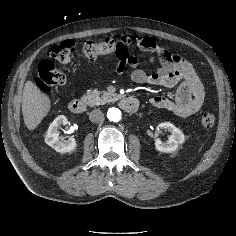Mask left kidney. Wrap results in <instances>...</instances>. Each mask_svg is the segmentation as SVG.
I'll use <instances>...</instances> for the list:
<instances>
[{
	"label": "left kidney",
	"mask_w": 236,
	"mask_h": 236,
	"mask_svg": "<svg viewBox=\"0 0 236 236\" xmlns=\"http://www.w3.org/2000/svg\"><path fill=\"white\" fill-rule=\"evenodd\" d=\"M157 128L166 129L168 132L171 133V136L169 137L167 142H162L159 138L155 139L154 144L157 151L163 153L174 152L175 150H177L180 144L184 143L185 136L183 132L179 128L174 126L172 123L163 122L160 123Z\"/></svg>",
	"instance_id": "left-kidney-1"
}]
</instances>
